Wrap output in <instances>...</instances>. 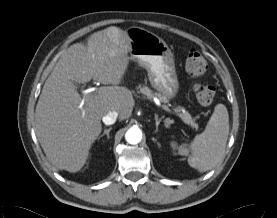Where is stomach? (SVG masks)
Listing matches in <instances>:
<instances>
[{
  "label": "stomach",
  "instance_id": "1",
  "mask_svg": "<svg viewBox=\"0 0 277 218\" xmlns=\"http://www.w3.org/2000/svg\"><path fill=\"white\" fill-rule=\"evenodd\" d=\"M131 59L145 67L151 86L167 99H173L179 91L174 57L165 41L156 34L141 28L130 27Z\"/></svg>",
  "mask_w": 277,
  "mask_h": 218
}]
</instances>
